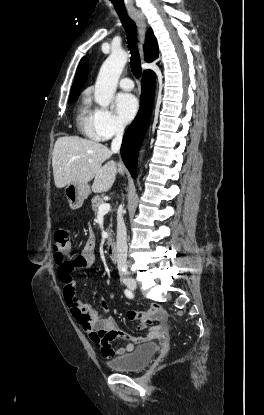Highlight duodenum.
Returning <instances> with one entry per match:
<instances>
[{
  "label": "duodenum",
  "mask_w": 264,
  "mask_h": 415,
  "mask_svg": "<svg viewBox=\"0 0 264 415\" xmlns=\"http://www.w3.org/2000/svg\"><path fill=\"white\" fill-rule=\"evenodd\" d=\"M107 255L109 260L113 263L117 258V246L116 242L112 239L107 241Z\"/></svg>",
  "instance_id": "duodenum-1"
}]
</instances>
